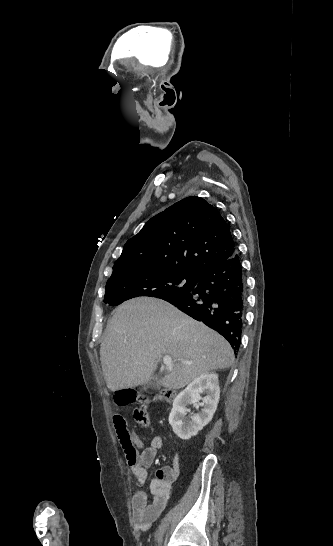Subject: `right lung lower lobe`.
<instances>
[{
    "instance_id": "obj_1",
    "label": "right lung lower lobe",
    "mask_w": 333,
    "mask_h": 546,
    "mask_svg": "<svg viewBox=\"0 0 333 546\" xmlns=\"http://www.w3.org/2000/svg\"><path fill=\"white\" fill-rule=\"evenodd\" d=\"M190 317L216 330L237 354L244 325L245 279L237 252L198 275L195 287L185 294L162 297Z\"/></svg>"
}]
</instances>
